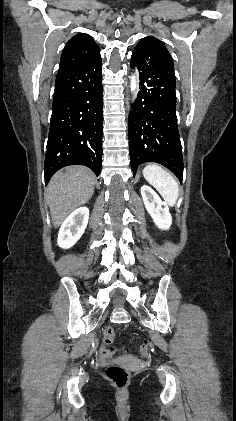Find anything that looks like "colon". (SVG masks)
Segmentation results:
<instances>
[{
  "label": "colon",
  "mask_w": 236,
  "mask_h": 421,
  "mask_svg": "<svg viewBox=\"0 0 236 421\" xmlns=\"http://www.w3.org/2000/svg\"><path fill=\"white\" fill-rule=\"evenodd\" d=\"M114 330L112 328H107L104 331L101 347H100V354L105 359L112 358L114 351L109 348L111 343L114 339ZM150 352L149 344L143 343L139 347V354L142 357H148ZM107 378L113 382L117 387H124L127 385L130 379V372L122 366L119 365H111L106 370Z\"/></svg>",
  "instance_id": "colon-1"
}]
</instances>
